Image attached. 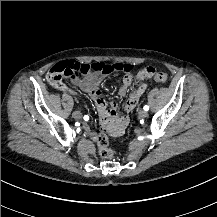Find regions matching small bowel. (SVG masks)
Instances as JSON below:
<instances>
[{"label": "small bowel", "mask_w": 217, "mask_h": 217, "mask_svg": "<svg viewBox=\"0 0 217 217\" xmlns=\"http://www.w3.org/2000/svg\"><path fill=\"white\" fill-rule=\"evenodd\" d=\"M144 68L140 69L136 75H133L131 72H125L119 87V96L124 97L127 95L129 87L131 86L134 79L145 80L151 77L147 76L144 73ZM103 78V74L96 73L86 75L82 78L74 77L72 78V82L81 91L89 95L90 99L97 107L98 112L99 109L103 108L100 112V128L104 133L114 135L119 133L122 130V128L124 131V128L129 123V114L134 110V108L138 104L141 96L145 92L146 87L141 86L137 89H134L129 94V97L124 105V114L120 117L115 110L117 108V105L112 103V107L107 106L106 99L100 92V86L102 84ZM58 88L65 93L75 95V91L63 83ZM86 132L91 138L98 140L99 136L97 137L96 133L92 131L89 127H86Z\"/></svg>", "instance_id": "small-bowel-1"}]
</instances>
